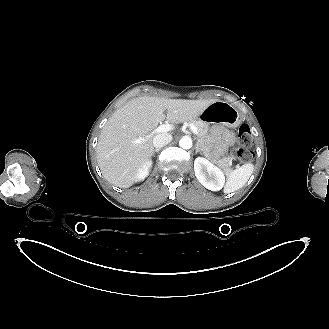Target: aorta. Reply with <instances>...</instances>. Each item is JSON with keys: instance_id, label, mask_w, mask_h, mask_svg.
<instances>
[{"instance_id": "1", "label": "aorta", "mask_w": 329, "mask_h": 329, "mask_svg": "<svg viewBox=\"0 0 329 329\" xmlns=\"http://www.w3.org/2000/svg\"><path fill=\"white\" fill-rule=\"evenodd\" d=\"M179 146L183 149H190L192 147V139L189 136H184L179 141Z\"/></svg>"}]
</instances>
